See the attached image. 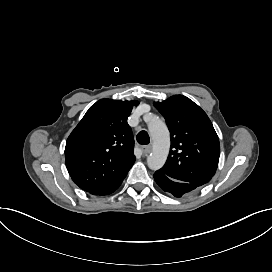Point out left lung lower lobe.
I'll list each match as a JSON object with an SVG mask.
<instances>
[{"mask_svg":"<svg viewBox=\"0 0 272 272\" xmlns=\"http://www.w3.org/2000/svg\"><path fill=\"white\" fill-rule=\"evenodd\" d=\"M154 179L163 191L171 193L178 198L198 189L193 184L172 179L159 170L154 173Z\"/></svg>","mask_w":272,"mask_h":272,"instance_id":"0a47b994","label":"left lung lower lobe"}]
</instances>
